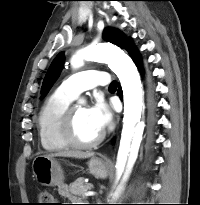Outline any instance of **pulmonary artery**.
I'll return each mask as SVG.
<instances>
[{
  "label": "pulmonary artery",
  "instance_id": "e3ab8cb5",
  "mask_svg": "<svg viewBox=\"0 0 200 205\" xmlns=\"http://www.w3.org/2000/svg\"><path fill=\"white\" fill-rule=\"evenodd\" d=\"M109 82L110 78L107 72L86 70L68 77L61 83L59 88L75 98L85 90L99 85L105 86Z\"/></svg>",
  "mask_w": 200,
  "mask_h": 205
}]
</instances>
